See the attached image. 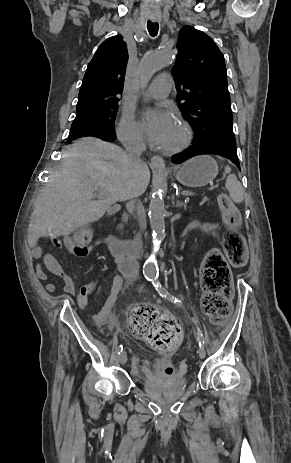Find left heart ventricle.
Masks as SVG:
<instances>
[{"label": "left heart ventricle", "mask_w": 291, "mask_h": 463, "mask_svg": "<svg viewBox=\"0 0 291 463\" xmlns=\"http://www.w3.org/2000/svg\"><path fill=\"white\" fill-rule=\"evenodd\" d=\"M179 138H180V129H179L178 125H176L173 133L171 134L168 141L166 142V144L163 147H170V146L174 145L175 143L178 142Z\"/></svg>", "instance_id": "b2bd125f"}]
</instances>
